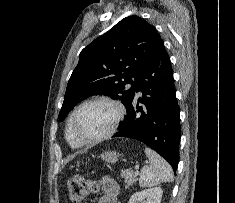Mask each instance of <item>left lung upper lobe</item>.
<instances>
[{"label":"left lung upper lobe","instance_id":"left-lung-upper-lobe-1","mask_svg":"<svg viewBox=\"0 0 235 203\" xmlns=\"http://www.w3.org/2000/svg\"><path fill=\"white\" fill-rule=\"evenodd\" d=\"M160 40L154 26L138 16H129L91 42L79 55L58 118L97 94L119 99L127 108Z\"/></svg>","mask_w":235,"mask_h":203}]
</instances>
